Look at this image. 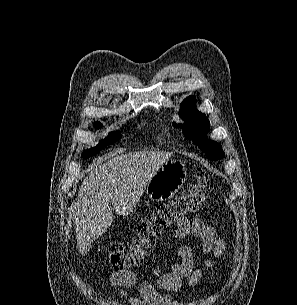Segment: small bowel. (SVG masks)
<instances>
[{
  "mask_svg": "<svg viewBox=\"0 0 297 305\" xmlns=\"http://www.w3.org/2000/svg\"><path fill=\"white\" fill-rule=\"evenodd\" d=\"M174 237L179 240L193 237L200 252L208 257L199 267H195L194 251L184 245L178 251V259L170 261L166 271L154 268L150 279L140 278L128 270L113 272L110 278L113 288L131 305H172L170 294L181 289L184 283L190 287L197 285L204 272L211 268L226 250L225 240L219 238L216 230L199 217L180 219ZM130 288L137 289L138 295L130 294ZM159 290H163L165 294H161Z\"/></svg>",
  "mask_w": 297,
  "mask_h": 305,
  "instance_id": "small-bowel-1",
  "label": "small bowel"
}]
</instances>
